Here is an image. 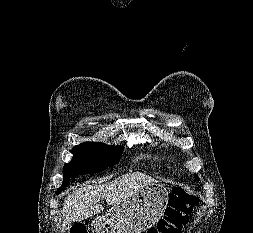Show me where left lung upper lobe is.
Listing matches in <instances>:
<instances>
[{"label":"left lung upper lobe","instance_id":"5c2ea615","mask_svg":"<svg viewBox=\"0 0 253 233\" xmlns=\"http://www.w3.org/2000/svg\"><path fill=\"white\" fill-rule=\"evenodd\" d=\"M195 178L199 180V177L197 175H195Z\"/></svg>","mask_w":253,"mask_h":233}]
</instances>
